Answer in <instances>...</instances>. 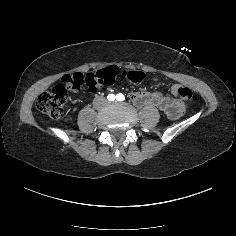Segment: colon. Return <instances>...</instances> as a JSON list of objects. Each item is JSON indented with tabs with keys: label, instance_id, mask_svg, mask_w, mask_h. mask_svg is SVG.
I'll list each match as a JSON object with an SVG mask.
<instances>
[{
	"label": "colon",
	"instance_id": "obj_1",
	"mask_svg": "<svg viewBox=\"0 0 236 236\" xmlns=\"http://www.w3.org/2000/svg\"><path fill=\"white\" fill-rule=\"evenodd\" d=\"M118 77L132 83L139 84L144 79V73L136 70L120 71L116 66H109L94 73H73L63 77L61 84L56 85L51 91L44 92L37 99V108L52 117L60 119L65 114V104L71 92L85 88L96 92L106 86L114 84ZM178 98L183 102L192 99V90L179 86L175 89Z\"/></svg>",
	"mask_w": 236,
	"mask_h": 236
}]
</instances>
